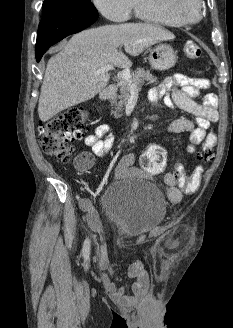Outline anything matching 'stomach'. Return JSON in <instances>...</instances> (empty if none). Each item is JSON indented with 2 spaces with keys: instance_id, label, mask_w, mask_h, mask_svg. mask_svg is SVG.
I'll return each instance as SVG.
<instances>
[{
  "instance_id": "obj_1",
  "label": "stomach",
  "mask_w": 233,
  "mask_h": 328,
  "mask_svg": "<svg viewBox=\"0 0 233 328\" xmlns=\"http://www.w3.org/2000/svg\"><path fill=\"white\" fill-rule=\"evenodd\" d=\"M148 60L153 69L163 71L176 64L177 55L170 45L159 43L149 49Z\"/></svg>"
}]
</instances>
